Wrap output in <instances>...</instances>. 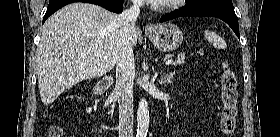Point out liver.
Listing matches in <instances>:
<instances>
[{
  "mask_svg": "<svg viewBox=\"0 0 280 137\" xmlns=\"http://www.w3.org/2000/svg\"><path fill=\"white\" fill-rule=\"evenodd\" d=\"M120 16L89 3L69 4L42 27L36 68L43 104L80 81L101 77L115 66L122 41ZM138 32L131 35L136 46Z\"/></svg>",
  "mask_w": 280,
  "mask_h": 137,
  "instance_id": "liver-1",
  "label": "liver"
}]
</instances>
